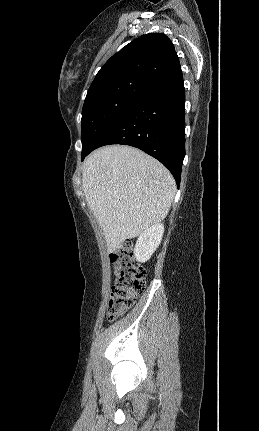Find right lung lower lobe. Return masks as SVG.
<instances>
[{"instance_id":"1","label":"right lung lower lobe","mask_w":259,"mask_h":431,"mask_svg":"<svg viewBox=\"0 0 259 431\" xmlns=\"http://www.w3.org/2000/svg\"><path fill=\"white\" fill-rule=\"evenodd\" d=\"M184 104L182 75L150 88L101 133L82 160L104 145H130L159 160L179 187L185 156Z\"/></svg>"}]
</instances>
